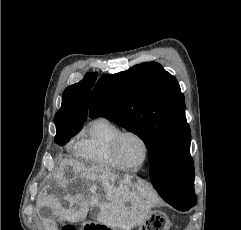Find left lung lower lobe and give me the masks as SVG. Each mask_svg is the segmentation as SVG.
<instances>
[{"label": "left lung lower lobe", "mask_w": 241, "mask_h": 230, "mask_svg": "<svg viewBox=\"0 0 241 230\" xmlns=\"http://www.w3.org/2000/svg\"><path fill=\"white\" fill-rule=\"evenodd\" d=\"M150 179L154 186V188L157 190V192L161 193V188L163 184L166 182L165 179V167L163 164V161H160L159 159H156L150 163ZM169 204H171L174 208L180 210V211H186L190 209L192 206H194L197 202V200L194 203L191 204H184L179 203L176 201H166Z\"/></svg>", "instance_id": "obj_1"}]
</instances>
